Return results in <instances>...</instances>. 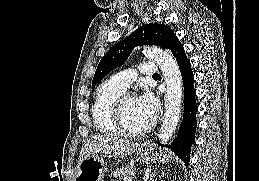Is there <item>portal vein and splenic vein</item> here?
<instances>
[{
	"label": "portal vein and splenic vein",
	"instance_id": "portal-vein-and-splenic-vein-1",
	"mask_svg": "<svg viewBox=\"0 0 259 181\" xmlns=\"http://www.w3.org/2000/svg\"><path fill=\"white\" fill-rule=\"evenodd\" d=\"M124 181H132V179L130 177H127L124 179Z\"/></svg>",
	"mask_w": 259,
	"mask_h": 181
}]
</instances>
